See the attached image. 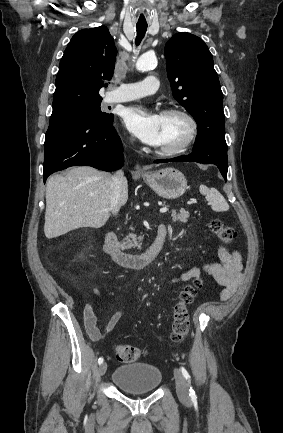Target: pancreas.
<instances>
[{"label":"pancreas","mask_w":283,"mask_h":433,"mask_svg":"<svg viewBox=\"0 0 283 433\" xmlns=\"http://www.w3.org/2000/svg\"><path fill=\"white\" fill-rule=\"evenodd\" d=\"M171 217L173 219V223H187L190 214L188 210H185V208H180V212H176V210H172ZM131 231H134V229H131ZM143 237H136V235H133V233H129L126 243L130 245V247H139L141 245L140 241H142Z\"/></svg>","instance_id":"obj_1"}]
</instances>
